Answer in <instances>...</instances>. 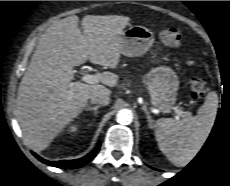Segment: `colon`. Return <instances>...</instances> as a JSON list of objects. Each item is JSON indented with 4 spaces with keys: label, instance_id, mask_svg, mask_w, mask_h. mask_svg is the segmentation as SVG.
<instances>
[{
    "label": "colon",
    "instance_id": "obj_1",
    "mask_svg": "<svg viewBox=\"0 0 230 186\" xmlns=\"http://www.w3.org/2000/svg\"><path fill=\"white\" fill-rule=\"evenodd\" d=\"M160 40L170 46H178L181 41V33L175 28H167L160 32ZM189 63L196 65V59L189 58ZM207 91L206 78L204 76H195L191 80V95L195 100H201Z\"/></svg>",
    "mask_w": 230,
    "mask_h": 186
}]
</instances>
